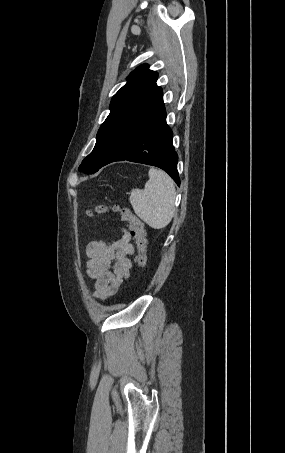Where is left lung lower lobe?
Segmentation results:
<instances>
[{
	"label": "left lung lower lobe",
	"mask_w": 285,
	"mask_h": 453,
	"mask_svg": "<svg viewBox=\"0 0 285 453\" xmlns=\"http://www.w3.org/2000/svg\"><path fill=\"white\" fill-rule=\"evenodd\" d=\"M172 138L161 92L124 131L103 166L123 160L153 165L166 171L180 185L178 155Z\"/></svg>",
	"instance_id": "obj_1"
}]
</instances>
